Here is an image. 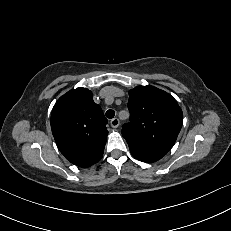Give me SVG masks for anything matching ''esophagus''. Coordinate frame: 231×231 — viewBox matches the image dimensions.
I'll return each mask as SVG.
<instances>
[{
	"instance_id": "obj_1",
	"label": "esophagus",
	"mask_w": 231,
	"mask_h": 231,
	"mask_svg": "<svg viewBox=\"0 0 231 231\" xmlns=\"http://www.w3.org/2000/svg\"><path fill=\"white\" fill-rule=\"evenodd\" d=\"M119 119L118 118H113L111 121H110V124L113 128H117L119 126Z\"/></svg>"
}]
</instances>
